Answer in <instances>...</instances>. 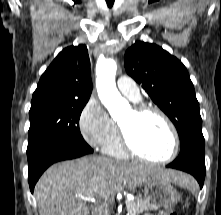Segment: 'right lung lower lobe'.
<instances>
[{"label": "right lung lower lobe", "instance_id": "1", "mask_svg": "<svg viewBox=\"0 0 221 215\" xmlns=\"http://www.w3.org/2000/svg\"><path fill=\"white\" fill-rule=\"evenodd\" d=\"M92 152V148L85 141L76 142L65 139L49 141L27 152L28 181L31 192L33 193L41 174L53 163L78 158Z\"/></svg>", "mask_w": 221, "mask_h": 215}]
</instances>
